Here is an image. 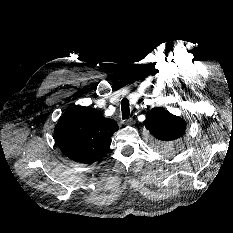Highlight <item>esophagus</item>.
I'll return each mask as SVG.
<instances>
[{"label":"esophagus","mask_w":233,"mask_h":233,"mask_svg":"<svg viewBox=\"0 0 233 233\" xmlns=\"http://www.w3.org/2000/svg\"><path fill=\"white\" fill-rule=\"evenodd\" d=\"M132 123H133V119L132 118H129L128 120H126L124 122V124H126V125H131Z\"/></svg>","instance_id":"esophagus-1"}]
</instances>
